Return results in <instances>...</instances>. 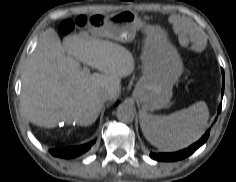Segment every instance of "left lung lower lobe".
<instances>
[{"label": "left lung lower lobe", "mask_w": 236, "mask_h": 182, "mask_svg": "<svg viewBox=\"0 0 236 182\" xmlns=\"http://www.w3.org/2000/svg\"><path fill=\"white\" fill-rule=\"evenodd\" d=\"M222 77H223V86H222V92L221 95L224 94V71L222 69ZM221 111V105L218 107V113ZM209 137V131L206 132V134L196 143L191 145L190 147L173 153H150V157L152 159L158 160V161H177L181 160L189 155H191L193 152H195L201 145H203L206 140Z\"/></svg>", "instance_id": "left-lung-lower-lobe-1"}]
</instances>
